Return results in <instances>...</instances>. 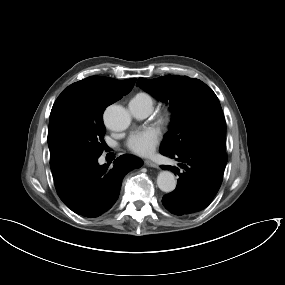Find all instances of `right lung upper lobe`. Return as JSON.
I'll list each match as a JSON object with an SVG mask.
<instances>
[{"label":"right lung upper lobe","instance_id":"cb5924a9","mask_svg":"<svg viewBox=\"0 0 285 285\" xmlns=\"http://www.w3.org/2000/svg\"><path fill=\"white\" fill-rule=\"evenodd\" d=\"M136 78L128 80H116L108 77L91 76L78 81L69 87L80 88L103 96L112 103L128 94L133 88Z\"/></svg>","mask_w":285,"mask_h":285}]
</instances>
